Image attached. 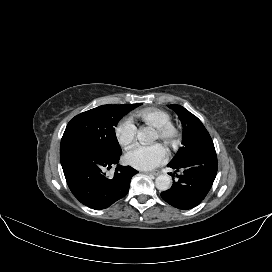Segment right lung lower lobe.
<instances>
[{
    "instance_id": "right-lung-lower-lobe-1",
    "label": "right lung lower lobe",
    "mask_w": 272,
    "mask_h": 272,
    "mask_svg": "<svg viewBox=\"0 0 272 272\" xmlns=\"http://www.w3.org/2000/svg\"><path fill=\"white\" fill-rule=\"evenodd\" d=\"M119 154H108L84 142H64L60 146V160L66 182L79 202L101 210L123 198L129 191L133 175L138 173L130 166L117 165L109 177L105 169L119 162Z\"/></svg>"
}]
</instances>
